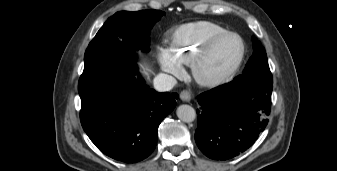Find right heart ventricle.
<instances>
[{
  "label": "right heart ventricle",
  "instance_id": "obj_1",
  "mask_svg": "<svg viewBox=\"0 0 337 171\" xmlns=\"http://www.w3.org/2000/svg\"><path fill=\"white\" fill-rule=\"evenodd\" d=\"M226 31L223 26L205 20L183 24L169 38V53L180 64L190 65L207 41Z\"/></svg>",
  "mask_w": 337,
  "mask_h": 171
}]
</instances>
